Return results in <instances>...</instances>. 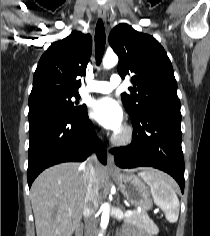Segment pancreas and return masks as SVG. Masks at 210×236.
<instances>
[{
	"label": "pancreas",
	"mask_w": 210,
	"mask_h": 236,
	"mask_svg": "<svg viewBox=\"0 0 210 236\" xmlns=\"http://www.w3.org/2000/svg\"><path fill=\"white\" fill-rule=\"evenodd\" d=\"M125 221L129 224L145 229L150 234L158 233L157 226L149 218L145 211L138 212L133 210V214L126 217Z\"/></svg>",
	"instance_id": "pancreas-1"
}]
</instances>
